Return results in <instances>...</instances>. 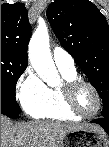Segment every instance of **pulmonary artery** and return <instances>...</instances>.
Returning a JSON list of instances; mask_svg holds the SVG:
<instances>
[{"label":"pulmonary artery","instance_id":"obj_1","mask_svg":"<svg viewBox=\"0 0 109 147\" xmlns=\"http://www.w3.org/2000/svg\"><path fill=\"white\" fill-rule=\"evenodd\" d=\"M53 60L58 69L75 70L73 57L61 47H55L53 49Z\"/></svg>","mask_w":109,"mask_h":147}]
</instances>
